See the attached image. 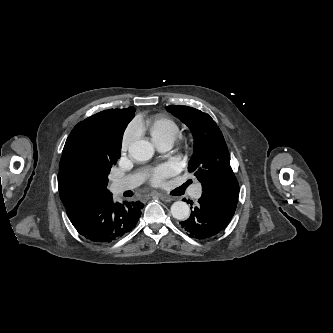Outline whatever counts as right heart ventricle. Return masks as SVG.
I'll list each match as a JSON object with an SVG mask.
<instances>
[{
	"label": "right heart ventricle",
	"instance_id": "obj_1",
	"mask_svg": "<svg viewBox=\"0 0 333 333\" xmlns=\"http://www.w3.org/2000/svg\"><path fill=\"white\" fill-rule=\"evenodd\" d=\"M148 130L155 144L161 141L173 143L180 131L173 119L163 115L153 118L148 124Z\"/></svg>",
	"mask_w": 333,
	"mask_h": 333
}]
</instances>
